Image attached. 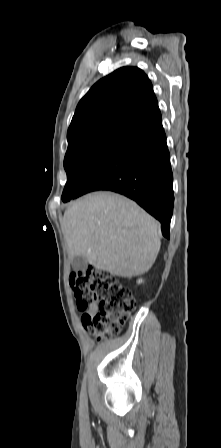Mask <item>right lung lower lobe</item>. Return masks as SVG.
I'll return each instance as SVG.
<instances>
[{"instance_id": "1", "label": "right lung lower lobe", "mask_w": 221, "mask_h": 448, "mask_svg": "<svg viewBox=\"0 0 221 448\" xmlns=\"http://www.w3.org/2000/svg\"><path fill=\"white\" fill-rule=\"evenodd\" d=\"M172 182L170 154L159 113L116 142L79 196L97 190L123 194L158 219L163 236L170 238L174 204Z\"/></svg>"}]
</instances>
